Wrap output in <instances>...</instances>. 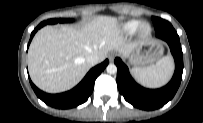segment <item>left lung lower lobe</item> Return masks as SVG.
<instances>
[{
	"mask_svg": "<svg viewBox=\"0 0 203 123\" xmlns=\"http://www.w3.org/2000/svg\"><path fill=\"white\" fill-rule=\"evenodd\" d=\"M156 37L166 41L175 60V72L171 81L159 89H146L131 77L127 66L120 58L117 65V86L125 100L143 110H154L164 106L177 92L183 73V53L177 32L172 26L156 30Z\"/></svg>",
	"mask_w": 203,
	"mask_h": 123,
	"instance_id": "0a47b994",
	"label": "left lung lower lobe"
}]
</instances>
